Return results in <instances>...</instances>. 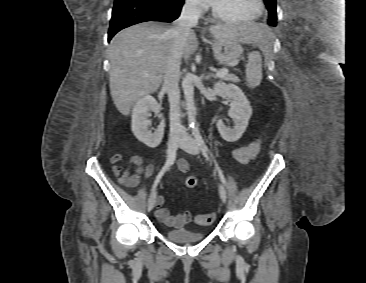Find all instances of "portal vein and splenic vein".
Segmentation results:
<instances>
[{
  "mask_svg": "<svg viewBox=\"0 0 366 283\" xmlns=\"http://www.w3.org/2000/svg\"><path fill=\"white\" fill-rule=\"evenodd\" d=\"M238 64V61H234V62H232L231 63V66H235V65H237ZM229 73V69H227V68H223V69H221L220 71H217L216 72V75L218 76V77H224L225 75H227Z\"/></svg>",
  "mask_w": 366,
  "mask_h": 283,
  "instance_id": "obj_1",
  "label": "portal vein and splenic vein"
}]
</instances>
